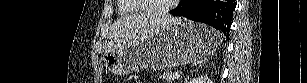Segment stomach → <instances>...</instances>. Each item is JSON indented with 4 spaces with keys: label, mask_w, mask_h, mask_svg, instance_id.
Returning <instances> with one entry per match:
<instances>
[{
    "label": "stomach",
    "mask_w": 307,
    "mask_h": 83,
    "mask_svg": "<svg viewBox=\"0 0 307 83\" xmlns=\"http://www.w3.org/2000/svg\"><path fill=\"white\" fill-rule=\"evenodd\" d=\"M220 42L214 29L181 20L136 43L106 52L103 60L115 75H128L144 68L163 70L201 59L214 52Z\"/></svg>",
    "instance_id": "obj_1"
}]
</instances>
